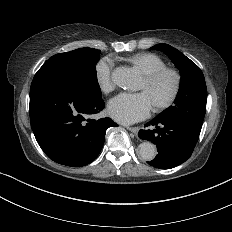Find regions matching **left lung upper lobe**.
Wrapping results in <instances>:
<instances>
[{"mask_svg":"<svg viewBox=\"0 0 232 232\" xmlns=\"http://www.w3.org/2000/svg\"><path fill=\"white\" fill-rule=\"evenodd\" d=\"M154 50L164 52L179 69L180 87L174 105L157 117L183 122L200 132L206 113L207 88L201 69L183 53L168 44H157Z\"/></svg>","mask_w":232,"mask_h":232,"instance_id":"left-lung-upper-lobe-1","label":"left lung upper lobe"}]
</instances>
